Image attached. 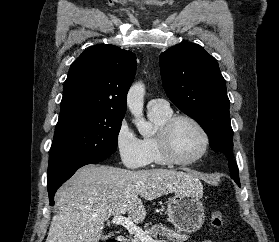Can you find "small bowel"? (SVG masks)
<instances>
[{"label": "small bowel", "instance_id": "c3829d8e", "mask_svg": "<svg viewBox=\"0 0 279 242\" xmlns=\"http://www.w3.org/2000/svg\"><path fill=\"white\" fill-rule=\"evenodd\" d=\"M202 242H213V241H211V240H205V241H202Z\"/></svg>", "mask_w": 279, "mask_h": 242}]
</instances>
